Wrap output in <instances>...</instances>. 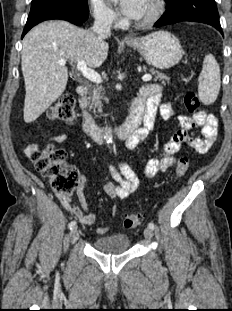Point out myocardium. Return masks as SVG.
Returning a JSON list of instances; mask_svg holds the SVG:
<instances>
[{
	"instance_id": "myocardium-1",
	"label": "myocardium",
	"mask_w": 232,
	"mask_h": 311,
	"mask_svg": "<svg viewBox=\"0 0 232 311\" xmlns=\"http://www.w3.org/2000/svg\"><path fill=\"white\" fill-rule=\"evenodd\" d=\"M148 2L150 4V11L144 19L134 22V25L137 27L146 28L153 25L163 13V0H148Z\"/></svg>"
}]
</instances>
